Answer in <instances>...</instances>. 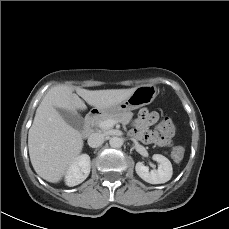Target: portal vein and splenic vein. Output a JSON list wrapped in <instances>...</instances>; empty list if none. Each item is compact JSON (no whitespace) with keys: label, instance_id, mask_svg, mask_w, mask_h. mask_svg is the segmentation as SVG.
<instances>
[{"label":"portal vein and splenic vein","instance_id":"18ae733b","mask_svg":"<svg viewBox=\"0 0 229 229\" xmlns=\"http://www.w3.org/2000/svg\"><path fill=\"white\" fill-rule=\"evenodd\" d=\"M117 123V121L109 119V120H105L99 123V127L102 129H110L112 128L115 124Z\"/></svg>","mask_w":229,"mask_h":229}]
</instances>
